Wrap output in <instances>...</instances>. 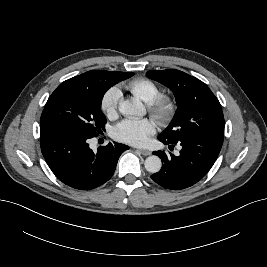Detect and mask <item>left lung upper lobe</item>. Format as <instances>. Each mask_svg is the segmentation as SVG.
<instances>
[{"label":"left lung upper lobe","mask_w":267,"mask_h":267,"mask_svg":"<svg viewBox=\"0 0 267 267\" xmlns=\"http://www.w3.org/2000/svg\"><path fill=\"white\" fill-rule=\"evenodd\" d=\"M146 75L169 87L178 105L172 122L158 139L176 144L197 135H224L221 105L205 83L176 69L148 71Z\"/></svg>","instance_id":"left-lung-upper-lobe-1"}]
</instances>
